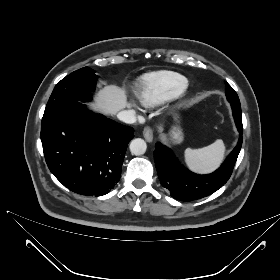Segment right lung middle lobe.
Here are the masks:
<instances>
[{"instance_id": "dd1d6c3e", "label": "right lung middle lobe", "mask_w": 280, "mask_h": 280, "mask_svg": "<svg viewBox=\"0 0 280 280\" xmlns=\"http://www.w3.org/2000/svg\"><path fill=\"white\" fill-rule=\"evenodd\" d=\"M96 79L95 71L89 67L74 71L56 84L46 108L63 101L90 100Z\"/></svg>"}]
</instances>
